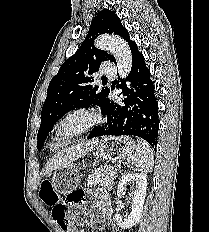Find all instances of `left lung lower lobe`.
Wrapping results in <instances>:
<instances>
[{
    "instance_id": "0a47b994",
    "label": "left lung lower lobe",
    "mask_w": 209,
    "mask_h": 232,
    "mask_svg": "<svg viewBox=\"0 0 209 232\" xmlns=\"http://www.w3.org/2000/svg\"><path fill=\"white\" fill-rule=\"evenodd\" d=\"M130 49L133 61L131 71L126 80L116 82L117 87L122 89L123 103L117 104L108 100L103 112V115L107 117L106 124L94 128L88 138L104 135L137 136L155 147L159 117L154 85L137 44L133 42Z\"/></svg>"
}]
</instances>
